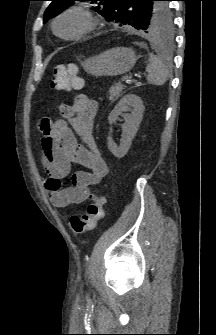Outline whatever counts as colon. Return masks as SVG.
<instances>
[{
    "mask_svg": "<svg viewBox=\"0 0 216 335\" xmlns=\"http://www.w3.org/2000/svg\"><path fill=\"white\" fill-rule=\"evenodd\" d=\"M79 67L75 63L57 65L53 69L51 88L58 91H66L70 88H80L82 80L78 76ZM59 108V107H58ZM87 211L82 215H71L68 223L77 235H83L96 229L98 223L104 217V198L100 193L91 192L88 196Z\"/></svg>",
    "mask_w": 216,
    "mask_h": 335,
    "instance_id": "1",
    "label": "colon"
}]
</instances>
